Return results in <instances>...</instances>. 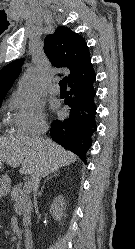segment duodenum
Returning a JSON list of instances; mask_svg holds the SVG:
<instances>
[{"label":"duodenum","instance_id":"410a0bca","mask_svg":"<svg viewBox=\"0 0 135 249\" xmlns=\"http://www.w3.org/2000/svg\"><path fill=\"white\" fill-rule=\"evenodd\" d=\"M27 245L30 247H33L34 245V240H33V234L31 232H28L27 240L25 242Z\"/></svg>","mask_w":135,"mask_h":249}]
</instances>
